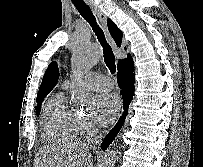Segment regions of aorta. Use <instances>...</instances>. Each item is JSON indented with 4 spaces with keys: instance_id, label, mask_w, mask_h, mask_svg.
<instances>
[{
    "instance_id": "obj_1",
    "label": "aorta",
    "mask_w": 203,
    "mask_h": 167,
    "mask_svg": "<svg viewBox=\"0 0 203 167\" xmlns=\"http://www.w3.org/2000/svg\"><path fill=\"white\" fill-rule=\"evenodd\" d=\"M101 57L99 46L91 42H80L73 52L72 69L77 78L74 80L71 93L75 102L81 105L89 104L92 99V93L88 87L84 85L80 79V75L91 69L97 64ZM116 152L109 150L105 155L102 167H114Z\"/></svg>"
}]
</instances>
